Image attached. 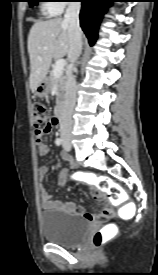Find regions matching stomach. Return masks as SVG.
<instances>
[{
	"label": "stomach",
	"mask_w": 158,
	"mask_h": 275,
	"mask_svg": "<svg viewBox=\"0 0 158 275\" xmlns=\"http://www.w3.org/2000/svg\"><path fill=\"white\" fill-rule=\"evenodd\" d=\"M48 93H49V82H48V78L45 77L36 87L34 94L37 97L43 98V97H46Z\"/></svg>",
	"instance_id": "obj_1"
}]
</instances>
